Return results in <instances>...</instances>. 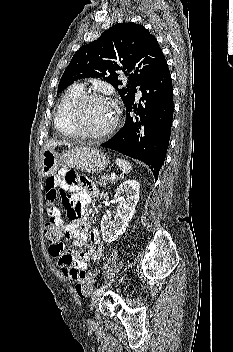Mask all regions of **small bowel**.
<instances>
[{
    "mask_svg": "<svg viewBox=\"0 0 233 352\" xmlns=\"http://www.w3.org/2000/svg\"><path fill=\"white\" fill-rule=\"evenodd\" d=\"M47 222L61 228L66 236V244L74 247L86 246L87 250L64 251V246L52 244L49 252L61 267L63 274L72 282L87 268L89 259L100 260L104 247L97 227L90 228L84 213L85 206L97 195L96 187L72 170L61 169L55 176L48 177L45 185ZM70 193V195H67ZM62 198L66 209L65 217L54 205L56 198Z\"/></svg>",
    "mask_w": 233,
    "mask_h": 352,
    "instance_id": "c3829d8e",
    "label": "small bowel"
}]
</instances>
